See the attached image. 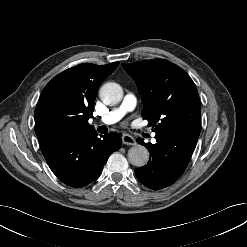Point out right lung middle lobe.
<instances>
[{
    "label": "right lung middle lobe",
    "mask_w": 247,
    "mask_h": 247,
    "mask_svg": "<svg viewBox=\"0 0 247 247\" xmlns=\"http://www.w3.org/2000/svg\"><path fill=\"white\" fill-rule=\"evenodd\" d=\"M61 129H65V128H60V129H58V130H61Z\"/></svg>",
    "instance_id": "right-lung-middle-lobe-1"
}]
</instances>
